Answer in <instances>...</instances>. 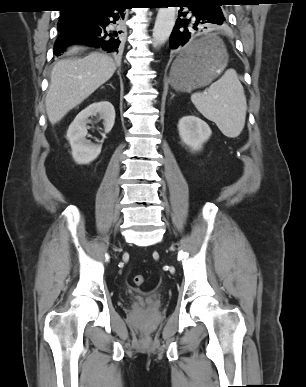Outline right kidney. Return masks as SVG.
<instances>
[{"mask_svg": "<svg viewBox=\"0 0 306 387\" xmlns=\"http://www.w3.org/2000/svg\"><path fill=\"white\" fill-rule=\"evenodd\" d=\"M97 115L104 121L105 133H109L115 122V109L108 101L95 102L86 107L68 128L67 138L71 145L72 157L78 164H89L101 152V145L93 144L86 139L87 124L91 122L89 117Z\"/></svg>", "mask_w": 306, "mask_h": 387, "instance_id": "ca27d5eb", "label": "right kidney"}]
</instances>
